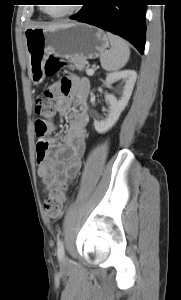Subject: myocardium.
Here are the masks:
<instances>
[{"instance_id": "f54148a6", "label": "myocardium", "mask_w": 181, "mask_h": 300, "mask_svg": "<svg viewBox=\"0 0 181 300\" xmlns=\"http://www.w3.org/2000/svg\"><path fill=\"white\" fill-rule=\"evenodd\" d=\"M79 7H80L79 4L72 5L71 8L68 9L67 11L60 13V14H56V15L49 13L45 6H42V11L49 17L56 19V18H62V17H66V16H70V15L74 14L78 10Z\"/></svg>"}]
</instances>
